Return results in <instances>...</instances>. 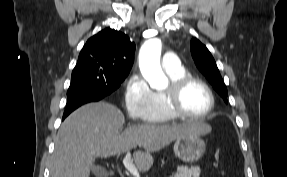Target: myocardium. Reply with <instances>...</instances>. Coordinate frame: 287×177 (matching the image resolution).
Returning <instances> with one entry per match:
<instances>
[{
	"label": "myocardium",
	"mask_w": 287,
	"mask_h": 177,
	"mask_svg": "<svg viewBox=\"0 0 287 177\" xmlns=\"http://www.w3.org/2000/svg\"><path fill=\"white\" fill-rule=\"evenodd\" d=\"M199 84L201 85L208 93L210 98V105L207 111L201 115H194L186 112L181 106V98L184 90L190 84ZM164 96L166 99V104L169 111L176 117L192 119V120H201L205 119L213 112L215 107V94L210 85L202 80L199 77L192 75H184L175 81H171L168 87L164 90Z\"/></svg>",
	"instance_id": "obj_1"
}]
</instances>
